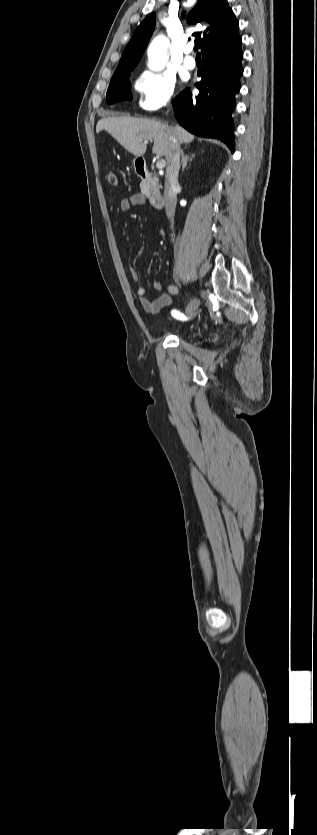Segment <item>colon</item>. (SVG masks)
I'll use <instances>...</instances> for the list:
<instances>
[{"label":"colon","mask_w":317,"mask_h":835,"mask_svg":"<svg viewBox=\"0 0 317 835\" xmlns=\"http://www.w3.org/2000/svg\"><path fill=\"white\" fill-rule=\"evenodd\" d=\"M107 182H108V183H109V185H111V186H116V185H117V183H118V178H117V175H116L114 172H109V173L107 174Z\"/></svg>","instance_id":"5ec220e1"}]
</instances>
